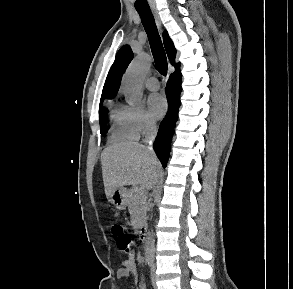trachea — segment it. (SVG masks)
Instances as JSON below:
<instances>
[{"label": "trachea", "mask_w": 293, "mask_h": 289, "mask_svg": "<svg viewBox=\"0 0 293 289\" xmlns=\"http://www.w3.org/2000/svg\"><path fill=\"white\" fill-rule=\"evenodd\" d=\"M147 33L155 65L161 75L167 74V58L150 8L137 9Z\"/></svg>", "instance_id": "obj_1"}]
</instances>
